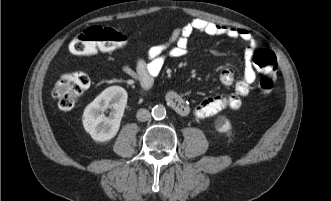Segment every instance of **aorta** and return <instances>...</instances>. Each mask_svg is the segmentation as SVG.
I'll list each match as a JSON object with an SVG mask.
<instances>
[{"instance_id": "obj_1", "label": "aorta", "mask_w": 331, "mask_h": 201, "mask_svg": "<svg viewBox=\"0 0 331 201\" xmlns=\"http://www.w3.org/2000/svg\"><path fill=\"white\" fill-rule=\"evenodd\" d=\"M152 116L156 120H162L166 117V108L163 105H156L152 109Z\"/></svg>"}]
</instances>
